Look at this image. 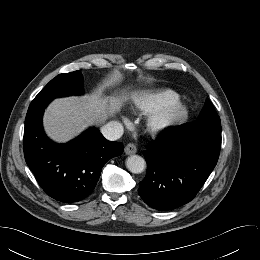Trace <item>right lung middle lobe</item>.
Segmentation results:
<instances>
[{
	"label": "right lung middle lobe",
	"mask_w": 260,
	"mask_h": 260,
	"mask_svg": "<svg viewBox=\"0 0 260 260\" xmlns=\"http://www.w3.org/2000/svg\"><path fill=\"white\" fill-rule=\"evenodd\" d=\"M83 94V80L80 71L60 74L52 79L35 99H54Z\"/></svg>",
	"instance_id": "right-lung-middle-lobe-1"
}]
</instances>
